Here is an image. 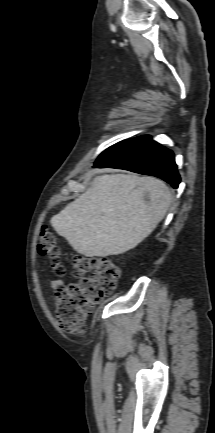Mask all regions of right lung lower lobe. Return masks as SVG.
Wrapping results in <instances>:
<instances>
[{
	"label": "right lung lower lobe",
	"instance_id": "obj_1",
	"mask_svg": "<svg viewBox=\"0 0 215 433\" xmlns=\"http://www.w3.org/2000/svg\"><path fill=\"white\" fill-rule=\"evenodd\" d=\"M93 167H111L132 172L156 176L173 188H178L180 175L174 159V153L150 136H139L120 152Z\"/></svg>",
	"mask_w": 215,
	"mask_h": 433
}]
</instances>
